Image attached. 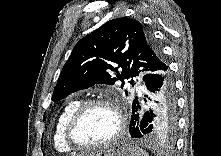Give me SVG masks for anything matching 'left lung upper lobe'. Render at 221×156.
<instances>
[{"mask_svg":"<svg viewBox=\"0 0 221 156\" xmlns=\"http://www.w3.org/2000/svg\"><path fill=\"white\" fill-rule=\"evenodd\" d=\"M113 63L118 64L117 67ZM167 66L160 48L139 21L112 19L82 38L65 63L52 95L53 101L94 84L113 85ZM121 68V69H119ZM116 72V77L112 76ZM126 95L128 91H125Z\"/></svg>","mask_w":221,"mask_h":156,"instance_id":"5c2ea615","label":"left lung upper lobe"}]
</instances>
